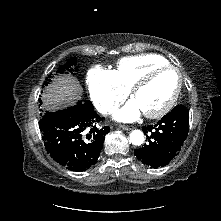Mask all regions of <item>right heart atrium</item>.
I'll return each mask as SVG.
<instances>
[{
	"instance_id": "right-heart-atrium-1",
	"label": "right heart atrium",
	"mask_w": 221,
	"mask_h": 221,
	"mask_svg": "<svg viewBox=\"0 0 221 221\" xmlns=\"http://www.w3.org/2000/svg\"><path fill=\"white\" fill-rule=\"evenodd\" d=\"M87 85L91 100L97 110L103 114L119 106L129 92L121 85L113 71L100 66L88 71Z\"/></svg>"
}]
</instances>
